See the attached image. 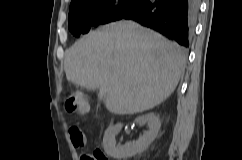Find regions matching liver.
Segmentation results:
<instances>
[{
    "label": "liver",
    "instance_id": "6515ba94",
    "mask_svg": "<svg viewBox=\"0 0 242 160\" xmlns=\"http://www.w3.org/2000/svg\"><path fill=\"white\" fill-rule=\"evenodd\" d=\"M185 69L182 47L133 21H118L91 31L67 52L68 81L99 89L108 111L144 112L165 101Z\"/></svg>",
    "mask_w": 242,
    "mask_h": 160
}]
</instances>
